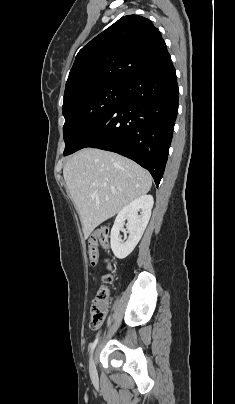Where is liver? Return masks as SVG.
I'll return each instance as SVG.
<instances>
[{"label":"liver","mask_w":235,"mask_h":404,"mask_svg":"<svg viewBox=\"0 0 235 404\" xmlns=\"http://www.w3.org/2000/svg\"><path fill=\"white\" fill-rule=\"evenodd\" d=\"M63 176L78 211L85 238L135 199L148 193L152 177L119 154L85 148L63 168Z\"/></svg>","instance_id":"1"}]
</instances>
